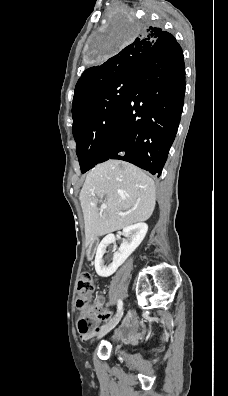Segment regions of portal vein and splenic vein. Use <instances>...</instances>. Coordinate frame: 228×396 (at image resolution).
<instances>
[{
    "mask_svg": "<svg viewBox=\"0 0 228 396\" xmlns=\"http://www.w3.org/2000/svg\"><path fill=\"white\" fill-rule=\"evenodd\" d=\"M106 208H107L106 204H101L100 210L104 211V210H106ZM116 214H118L120 216H124L125 215V213H122V212H117Z\"/></svg>",
    "mask_w": 228,
    "mask_h": 396,
    "instance_id": "portal-vein-and-splenic-vein-1",
    "label": "portal vein and splenic vein"
}]
</instances>
